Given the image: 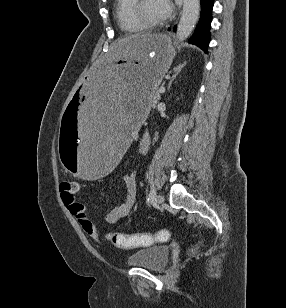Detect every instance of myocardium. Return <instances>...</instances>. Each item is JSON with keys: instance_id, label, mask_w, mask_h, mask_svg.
<instances>
[{"instance_id": "1", "label": "myocardium", "mask_w": 286, "mask_h": 308, "mask_svg": "<svg viewBox=\"0 0 286 308\" xmlns=\"http://www.w3.org/2000/svg\"><path fill=\"white\" fill-rule=\"evenodd\" d=\"M145 2V0H136L133 7H132V14L134 18L137 20V22L143 26L145 29H156L161 27L165 20L158 21V22H152L147 20L143 14H142V5Z\"/></svg>"}]
</instances>
